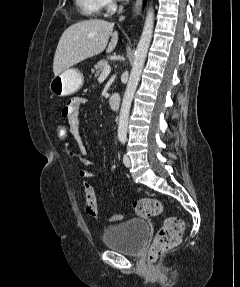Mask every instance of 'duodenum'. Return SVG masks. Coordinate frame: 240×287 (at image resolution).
<instances>
[{"label":"duodenum","instance_id":"obj_1","mask_svg":"<svg viewBox=\"0 0 240 287\" xmlns=\"http://www.w3.org/2000/svg\"><path fill=\"white\" fill-rule=\"evenodd\" d=\"M108 104L111 107V109L116 110L119 108L120 105V96L118 93H112L110 94L108 98Z\"/></svg>","mask_w":240,"mask_h":287}]
</instances>
